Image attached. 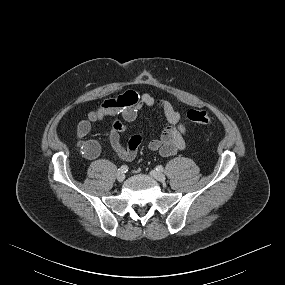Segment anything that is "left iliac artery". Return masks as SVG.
Wrapping results in <instances>:
<instances>
[{
  "instance_id": "left-iliac-artery-1",
  "label": "left iliac artery",
  "mask_w": 285,
  "mask_h": 285,
  "mask_svg": "<svg viewBox=\"0 0 285 285\" xmlns=\"http://www.w3.org/2000/svg\"><path fill=\"white\" fill-rule=\"evenodd\" d=\"M156 170L159 172H163L164 168L161 165L156 166Z\"/></svg>"
}]
</instances>
